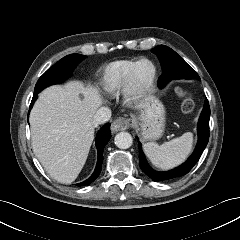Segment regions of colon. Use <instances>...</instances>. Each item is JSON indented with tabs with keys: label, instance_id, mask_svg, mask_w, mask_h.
<instances>
[{
	"label": "colon",
	"instance_id": "obj_1",
	"mask_svg": "<svg viewBox=\"0 0 240 240\" xmlns=\"http://www.w3.org/2000/svg\"><path fill=\"white\" fill-rule=\"evenodd\" d=\"M176 93L182 99V107L185 112H191L194 108V101L189 91L183 87H177Z\"/></svg>",
	"mask_w": 240,
	"mask_h": 240
}]
</instances>
